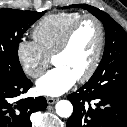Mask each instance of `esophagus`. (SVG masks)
<instances>
[{
    "label": "esophagus",
    "instance_id": "obj_1",
    "mask_svg": "<svg viewBox=\"0 0 127 127\" xmlns=\"http://www.w3.org/2000/svg\"><path fill=\"white\" fill-rule=\"evenodd\" d=\"M57 101H58L57 98H51V97H50V98H47V103L50 104V105H51V104H54V103L57 102Z\"/></svg>",
    "mask_w": 127,
    "mask_h": 127
}]
</instances>
